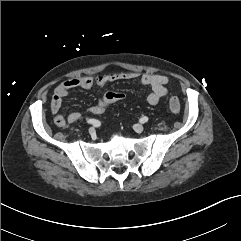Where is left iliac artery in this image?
Segmentation results:
<instances>
[{
	"label": "left iliac artery",
	"instance_id": "1",
	"mask_svg": "<svg viewBox=\"0 0 241 241\" xmlns=\"http://www.w3.org/2000/svg\"><path fill=\"white\" fill-rule=\"evenodd\" d=\"M141 122H142V123L148 122V117H147V116L142 117V118H141Z\"/></svg>",
	"mask_w": 241,
	"mask_h": 241
}]
</instances>
